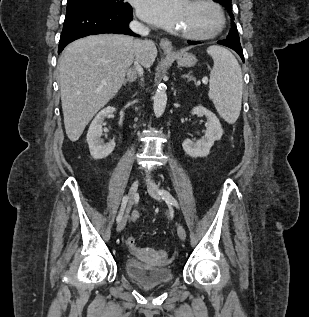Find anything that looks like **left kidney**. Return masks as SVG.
<instances>
[{
  "label": "left kidney",
  "instance_id": "5707ae66",
  "mask_svg": "<svg viewBox=\"0 0 309 317\" xmlns=\"http://www.w3.org/2000/svg\"><path fill=\"white\" fill-rule=\"evenodd\" d=\"M191 113L193 115H204L207 118L206 132L204 137L196 142L190 139L184 140L182 147L185 153L193 158L206 157L214 142L220 140L223 135L221 123L214 113L203 106L195 107Z\"/></svg>",
  "mask_w": 309,
  "mask_h": 317
}]
</instances>
